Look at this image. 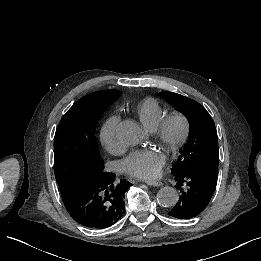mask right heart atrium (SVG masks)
I'll use <instances>...</instances> for the list:
<instances>
[{
	"label": "right heart atrium",
	"instance_id": "1",
	"mask_svg": "<svg viewBox=\"0 0 261 261\" xmlns=\"http://www.w3.org/2000/svg\"><path fill=\"white\" fill-rule=\"evenodd\" d=\"M118 122L119 118L112 115L105 121L101 129V143L105 151L111 155H118L124 150L116 140V127Z\"/></svg>",
	"mask_w": 261,
	"mask_h": 261
}]
</instances>
